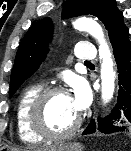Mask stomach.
Listing matches in <instances>:
<instances>
[{
	"mask_svg": "<svg viewBox=\"0 0 131 151\" xmlns=\"http://www.w3.org/2000/svg\"><path fill=\"white\" fill-rule=\"evenodd\" d=\"M83 146L78 142H69L60 144L57 147H53L52 150L48 151H82Z\"/></svg>",
	"mask_w": 131,
	"mask_h": 151,
	"instance_id": "1",
	"label": "stomach"
}]
</instances>
